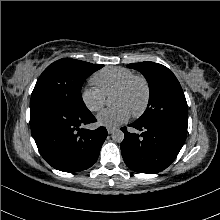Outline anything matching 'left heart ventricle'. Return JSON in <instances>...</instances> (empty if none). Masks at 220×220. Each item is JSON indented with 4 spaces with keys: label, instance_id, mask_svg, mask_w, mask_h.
Listing matches in <instances>:
<instances>
[{
    "label": "left heart ventricle",
    "instance_id": "left-heart-ventricle-1",
    "mask_svg": "<svg viewBox=\"0 0 220 220\" xmlns=\"http://www.w3.org/2000/svg\"><path fill=\"white\" fill-rule=\"evenodd\" d=\"M144 95L143 85L140 82H137L126 93L113 95L112 104L114 106L123 105L133 113L142 106Z\"/></svg>",
    "mask_w": 220,
    "mask_h": 220
}]
</instances>
